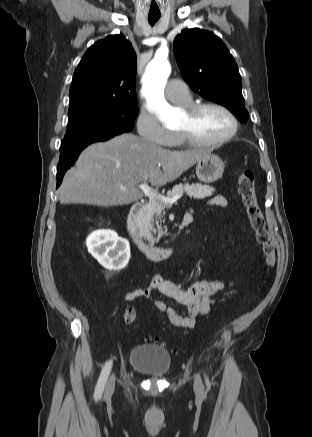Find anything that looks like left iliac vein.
Segmentation results:
<instances>
[{
	"label": "left iliac vein",
	"mask_w": 312,
	"mask_h": 437,
	"mask_svg": "<svg viewBox=\"0 0 312 437\" xmlns=\"http://www.w3.org/2000/svg\"><path fill=\"white\" fill-rule=\"evenodd\" d=\"M194 391L200 397H202L204 395L203 385H202L201 380L198 377H196L195 381H194Z\"/></svg>",
	"instance_id": "left-iliac-vein-1"
}]
</instances>
